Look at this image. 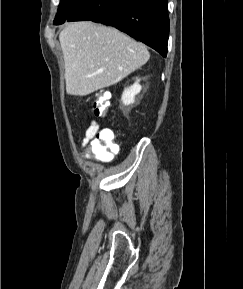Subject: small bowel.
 I'll return each instance as SVG.
<instances>
[{"mask_svg":"<svg viewBox=\"0 0 243 289\" xmlns=\"http://www.w3.org/2000/svg\"><path fill=\"white\" fill-rule=\"evenodd\" d=\"M100 132L99 124L96 121H92L82 137V146H87Z\"/></svg>","mask_w":243,"mask_h":289,"instance_id":"c3829d8e","label":"small bowel"}]
</instances>
